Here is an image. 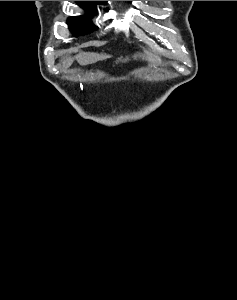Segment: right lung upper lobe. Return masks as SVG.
<instances>
[{"instance_id": "right-lung-upper-lobe-1", "label": "right lung upper lobe", "mask_w": 237, "mask_h": 300, "mask_svg": "<svg viewBox=\"0 0 237 300\" xmlns=\"http://www.w3.org/2000/svg\"><path fill=\"white\" fill-rule=\"evenodd\" d=\"M91 2V1H89ZM92 3H105V1H92Z\"/></svg>"}]
</instances>
